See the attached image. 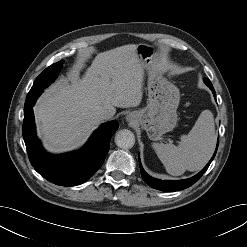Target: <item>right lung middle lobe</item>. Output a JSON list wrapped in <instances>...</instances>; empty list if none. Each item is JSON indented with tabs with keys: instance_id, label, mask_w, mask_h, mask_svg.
Returning a JSON list of instances; mask_svg holds the SVG:
<instances>
[{
	"instance_id": "right-lung-middle-lobe-1",
	"label": "right lung middle lobe",
	"mask_w": 247,
	"mask_h": 247,
	"mask_svg": "<svg viewBox=\"0 0 247 247\" xmlns=\"http://www.w3.org/2000/svg\"><path fill=\"white\" fill-rule=\"evenodd\" d=\"M63 64V60L46 68L36 79L29 93L41 94L42 91L54 81Z\"/></svg>"
}]
</instances>
